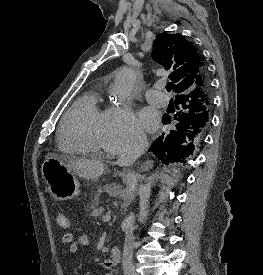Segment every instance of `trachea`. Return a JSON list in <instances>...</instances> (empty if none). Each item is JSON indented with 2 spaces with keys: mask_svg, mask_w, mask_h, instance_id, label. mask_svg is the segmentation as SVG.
<instances>
[{
  "mask_svg": "<svg viewBox=\"0 0 263 275\" xmlns=\"http://www.w3.org/2000/svg\"><path fill=\"white\" fill-rule=\"evenodd\" d=\"M172 87H173V84H172V83H168V84L166 85V90H167L168 92H170V91L172 90Z\"/></svg>",
  "mask_w": 263,
  "mask_h": 275,
  "instance_id": "3493384b",
  "label": "trachea"
}]
</instances>
